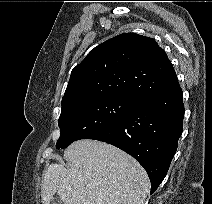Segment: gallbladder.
<instances>
[{"label":"gallbladder","instance_id":"gallbladder-1","mask_svg":"<svg viewBox=\"0 0 212 204\" xmlns=\"http://www.w3.org/2000/svg\"><path fill=\"white\" fill-rule=\"evenodd\" d=\"M51 204H62V201L59 197H55L52 199Z\"/></svg>","mask_w":212,"mask_h":204}]
</instances>
